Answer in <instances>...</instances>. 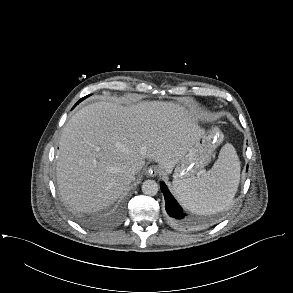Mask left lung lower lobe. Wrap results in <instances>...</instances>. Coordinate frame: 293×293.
I'll use <instances>...</instances> for the list:
<instances>
[{
	"instance_id": "left-lung-lower-lobe-1",
	"label": "left lung lower lobe",
	"mask_w": 293,
	"mask_h": 293,
	"mask_svg": "<svg viewBox=\"0 0 293 293\" xmlns=\"http://www.w3.org/2000/svg\"><path fill=\"white\" fill-rule=\"evenodd\" d=\"M161 191L165 197V208L169 215V218L173 224L177 226L186 227L190 225V221L185 219V213L183 212L180 205L177 203V201L173 198L171 193L169 192L167 186L161 182Z\"/></svg>"
}]
</instances>
